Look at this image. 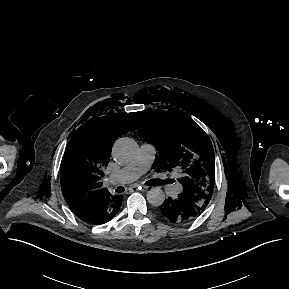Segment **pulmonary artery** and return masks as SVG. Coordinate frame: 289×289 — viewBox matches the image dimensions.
Segmentation results:
<instances>
[{
	"label": "pulmonary artery",
	"instance_id": "pulmonary-artery-1",
	"mask_svg": "<svg viewBox=\"0 0 289 289\" xmlns=\"http://www.w3.org/2000/svg\"><path fill=\"white\" fill-rule=\"evenodd\" d=\"M155 155L156 148L152 143H142L137 160L109 175L107 181L111 185H123L136 180L150 168ZM174 189L176 192L177 187Z\"/></svg>",
	"mask_w": 289,
	"mask_h": 289
}]
</instances>
